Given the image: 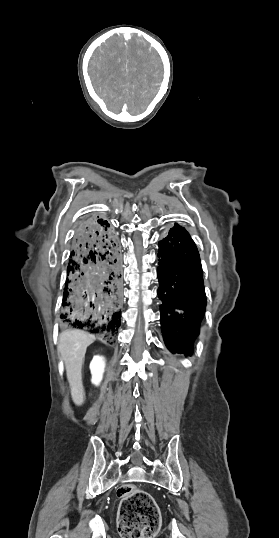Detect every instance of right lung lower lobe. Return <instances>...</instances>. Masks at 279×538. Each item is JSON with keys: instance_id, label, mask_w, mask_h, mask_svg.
Wrapping results in <instances>:
<instances>
[{"instance_id": "obj_1", "label": "right lung lower lobe", "mask_w": 279, "mask_h": 538, "mask_svg": "<svg viewBox=\"0 0 279 538\" xmlns=\"http://www.w3.org/2000/svg\"><path fill=\"white\" fill-rule=\"evenodd\" d=\"M121 254L110 223L85 218L71 241L61 327L91 334L114 332L121 323Z\"/></svg>"}]
</instances>
